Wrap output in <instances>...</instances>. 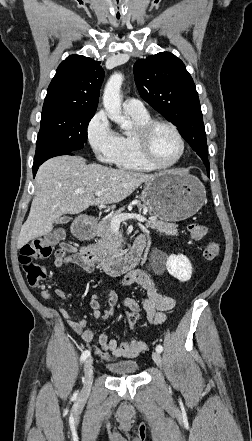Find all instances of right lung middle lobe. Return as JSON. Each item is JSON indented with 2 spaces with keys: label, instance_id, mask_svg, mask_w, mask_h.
<instances>
[{
  "label": "right lung middle lobe",
  "instance_id": "dd1d6c3e",
  "mask_svg": "<svg viewBox=\"0 0 252 441\" xmlns=\"http://www.w3.org/2000/svg\"><path fill=\"white\" fill-rule=\"evenodd\" d=\"M94 114L67 109L43 110L34 163L83 148Z\"/></svg>",
  "mask_w": 252,
  "mask_h": 441
}]
</instances>
